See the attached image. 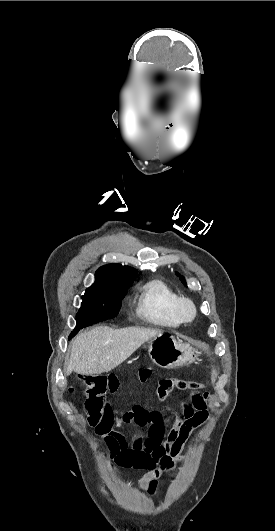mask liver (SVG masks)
Returning <instances> with one entry per match:
<instances>
[{
    "label": "liver",
    "instance_id": "6515ba94",
    "mask_svg": "<svg viewBox=\"0 0 275 531\" xmlns=\"http://www.w3.org/2000/svg\"><path fill=\"white\" fill-rule=\"evenodd\" d=\"M158 329L126 327L110 329L95 327L83 331L72 343L71 357L65 369L66 375H100L109 373L126 361L143 343L160 335Z\"/></svg>",
    "mask_w": 275,
    "mask_h": 531
}]
</instances>
